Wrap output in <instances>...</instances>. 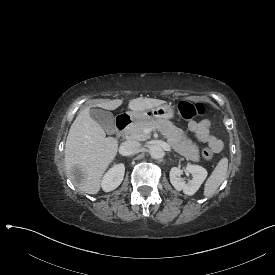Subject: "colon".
<instances>
[{"mask_svg":"<svg viewBox=\"0 0 275 275\" xmlns=\"http://www.w3.org/2000/svg\"><path fill=\"white\" fill-rule=\"evenodd\" d=\"M211 107L207 103L196 102L192 103L188 100L180 101L178 105V115L187 120L201 119L207 113H209ZM204 159H211L213 157V151L210 148H203L200 152Z\"/></svg>","mask_w":275,"mask_h":275,"instance_id":"obj_1","label":"colon"}]
</instances>
